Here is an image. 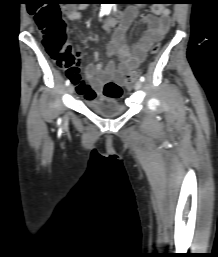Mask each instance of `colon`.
I'll return each mask as SVG.
<instances>
[{
    "mask_svg": "<svg viewBox=\"0 0 218 257\" xmlns=\"http://www.w3.org/2000/svg\"><path fill=\"white\" fill-rule=\"evenodd\" d=\"M27 10H33L38 29L42 35V43L50 56L67 69L69 76L77 77L80 73L79 63L67 43L66 24L61 17L62 5H27ZM159 44L156 43L151 52L157 53ZM139 72L133 71L126 78V87L131 88ZM102 98H123L126 90L117 82L102 83Z\"/></svg>",
    "mask_w": 218,
    "mask_h": 257,
    "instance_id": "1",
    "label": "colon"
}]
</instances>
